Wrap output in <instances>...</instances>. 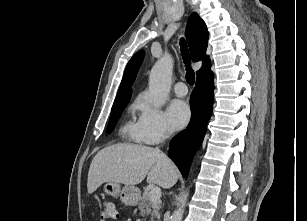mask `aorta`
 <instances>
[{
  "mask_svg": "<svg viewBox=\"0 0 307 221\" xmlns=\"http://www.w3.org/2000/svg\"><path fill=\"white\" fill-rule=\"evenodd\" d=\"M174 61L171 55L165 53L153 66L149 76V92L153 101V106H162L170 92L171 76ZM188 197V192L184 193L177 208L170 217V221H182L184 209Z\"/></svg>",
  "mask_w": 307,
  "mask_h": 221,
  "instance_id": "obj_1",
  "label": "aorta"
}]
</instances>
